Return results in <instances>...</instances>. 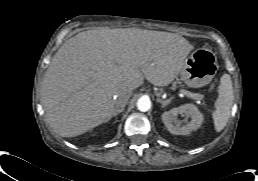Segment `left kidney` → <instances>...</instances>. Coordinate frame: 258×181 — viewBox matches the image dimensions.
I'll use <instances>...</instances> for the list:
<instances>
[{
  "mask_svg": "<svg viewBox=\"0 0 258 181\" xmlns=\"http://www.w3.org/2000/svg\"><path fill=\"white\" fill-rule=\"evenodd\" d=\"M179 114L191 120L181 125L177 118ZM162 121L170 133L175 135H188L190 132L201 127L204 118L203 114L195 105L185 104L164 112L162 114Z\"/></svg>",
  "mask_w": 258,
  "mask_h": 181,
  "instance_id": "1",
  "label": "left kidney"
}]
</instances>
